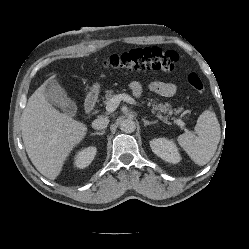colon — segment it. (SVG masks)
Returning a JSON list of instances; mask_svg holds the SVG:
<instances>
[{
  "label": "colon",
  "mask_w": 249,
  "mask_h": 249,
  "mask_svg": "<svg viewBox=\"0 0 249 249\" xmlns=\"http://www.w3.org/2000/svg\"><path fill=\"white\" fill-rule=\"evenodd\" d=\"M179 60L178 54L172 50L159 47H146L130 50L122 54L111 55L103 62L104 67L122 71L162 70L172 71ZM188 84L201 92L204 84L200 76L190 73Z\"/></svg>",
  "instance_id": "5ec220e1"
}]
</instances>
